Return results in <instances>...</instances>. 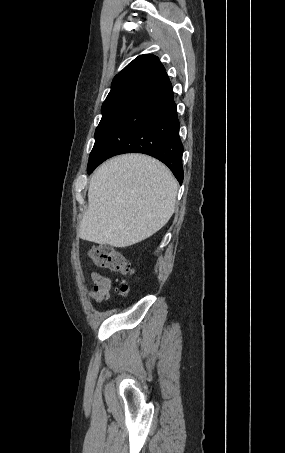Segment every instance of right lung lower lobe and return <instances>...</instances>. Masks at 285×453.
I'll list each match as a JSON object with an SVG mask.
<instances>
[{"label": "right lung lower lobe", "instance_id": "obj_1", "mask_svg": "<svg viewBox=\"0 0 285 453\" xmlns=\"http://www.w3.org/2000/svg\"><path fill=\"white\" fill-rule=\"evenodd\" d=\"M173 89L166 72L151 79L121 106L88 164L90 174L106 159L144 153L166 164L183 181V145Z\"/></svg>", "mask_w": 285, "mask_h": 453}]
</instances>
